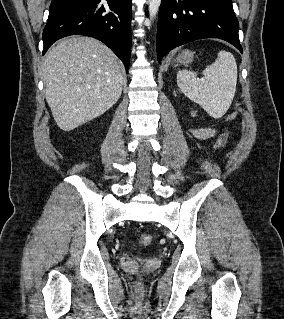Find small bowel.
Here are the masks:
<instances>
[{"label":"small bowel","mask_w":284,"mask_h":319,"mask_svg":"<svg viewBox=\"0 0 284 319\" xmlns=\"http://www.w3.org/2000/svg\"><path fill=\"white\" fill-rule=\"evenodd\" d=\"M216 131L212 128H195L192 130V134L199 140H207L215 135Z\"/></svg>","instance_id":"1"}]
</instances>
